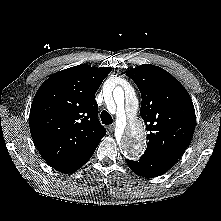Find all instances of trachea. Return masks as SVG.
I'll list each match as a JSON object with an SVG mask.
<instances>
[{"mask_svg": "<svg viewBox=\"0 0 221 221\" xmlns=\"http://www.w3.org/2000/svg\"><path fill=\"white\" fill-rule=\"evenodd\" d=\"M101 121H102L103 124L109 125V124H112L113 119H112L111 115L107 111H102V113H101Z\"/></svg>", "mask_w": 221, "mask_h": 221, "instance_id": "obj_1", "label": "trachea"}]
</instances>
